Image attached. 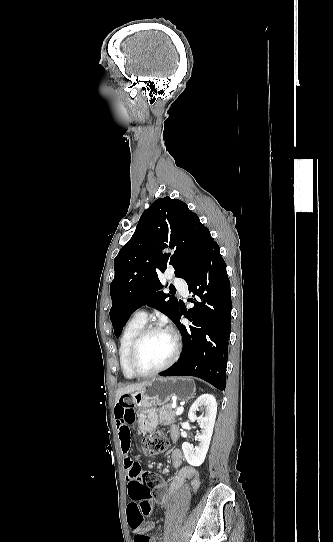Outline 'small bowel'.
Listing matches in <instances>:
<instances>
[{"label": "small bowel", "instance_id": "obj_1", "mask_svg": "<svg viewBox=\"0 0 333 542\" xmlns=\"http://www.w3.org/2000/svg\"><path fill=\"white\" fill-rule=\"evenodd\" d=\"M133 403L131 400H122L116 404L114 414L116 418V430L119 447L123 455L127 456L131 449V429L130 425L134 422L135 412ZM175 435H179V430L176 426H172L170 429V436L173 439ZM172 466L177 469L175 476L173 477L170 487L165 496L158 502L160 506H164L166 502L171 500L183 487L187 480L191 481L192 487L196 491L199 487V475L195 468L191 466L181 467L183 456L180 450L175 449L171 454ZM125 465L128 468L127 477L130 480V493L131 484L133 481L132 467L133 462L129 458H125ZM128 524L131 528L137 532H145L153 528V524L148 522L142 527L141 521H135L137 516V507L133 501L128 507Z\"/></svg>", "mask_w": 333, "mask_h": 542}]
</instances>
